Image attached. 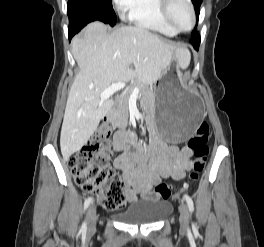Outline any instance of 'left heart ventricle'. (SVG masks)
<instances>
[{
  "mask_svg": "<svg viewBox=\"0 0 264 247\" xmlns=\"http://www.w3.org/2000/svg\"><path fill=\"white\" fill-rule=\"evenodd\" d=\"M171 17L179 28H186L191 23V12L184 0H174L171 6Z\"/></svg>",
  "mask_w": 264,
  "mask_h": 247,
  "instance_id": "b2bd125f",
  "label": "left heart ventricle"
}]
</instances>
